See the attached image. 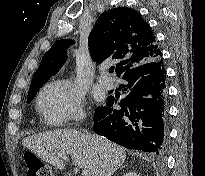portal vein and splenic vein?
Here are the masks:
<instances>
[{"label": "portal vein and splenic vein", "instance_id": "obj_1", "mask_svg": "<svg viewBox=\"0 0 205 176\" xmlns=\"http://www.w3.org/2000/svg\"><path fill=\"white\" fill-rule=\"evenodd\" d=\"M57 155L61 157L63 160L68 161L67 156L62 152H57ZM82 176H91L90 172L86 169L82 170Z\"/></svg>", "mask_w": 205, "mask_h": 176}]
</instances>
